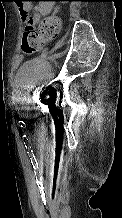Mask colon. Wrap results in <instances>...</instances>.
Wrapping results in <instances>:
<instances>
[{
  "label": "colon",
  "instance_id": "1",
  "mask_svg": "<svg viewBox=\"0 0 122 218\" xmlns=\"http://www.w3.org/2000/svg\"><path fill=\"white\" fill-rule=\"evenodd\" d=\"M37 1V0H25ZM26 27L22 37L21 48L26 54H32L43 48V46L55 39L60 30V20L57 16H48L42 20L39 28L34 29V20L23 11Z\"/></svg>",
  "mask_w": 122,
  "mask_h": 218
}]
</instances>
